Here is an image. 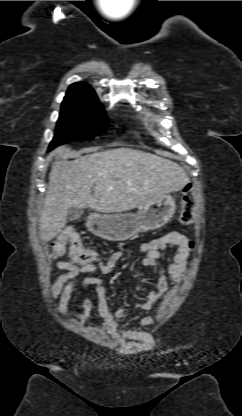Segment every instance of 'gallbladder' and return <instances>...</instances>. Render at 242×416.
Returning <instances> with one entry per match:
<instances>
[{"label": "gallbladder", "mask_w": 242, "mask_h": 416, "mask_svg": "<svg viewBox=\"0 0 242 416\" xmlns=\"http://www.w3.org/2000/svg\"><path fill=\"white\" fill-rule=\"evenodd\" d=\"M83 214V210L76 207H70L67 212V217L70 221L79 219Z\"/></svg>", "instance_id": "gallbladder-1"}]
</instances>
